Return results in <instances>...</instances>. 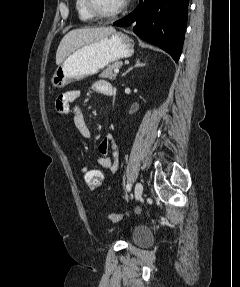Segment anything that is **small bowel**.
Returning <instances> with one entry per match:
<instances>
[{
    "label": "small bowel",
    "mask_w": 240,
    "mask_h": 287,
    "mask_svg": "<svg viewBox=\"0 0 240 287\" xmlns=\"http://www.w3.org/2000/svg\"><path fill=\"white\" fill-rule=\"evenodd\" d=\"M92 89L101 95L111 96L113 94L112 85L104 80L94 82ZM80 98L79 90H69L59 95L55 101V108L58 113L64 116L72 114L73 123L80 135L87 139H91V132L86 123L85 117L77 104ZM111 151V155L108 152ZM99 158L98 164L100 167L109 170L115 174L119 166V151L118 147L111 135H107L98 146Z\"/></svg>",
    "instance_id": "c3829d8e"
}]
</instances>
